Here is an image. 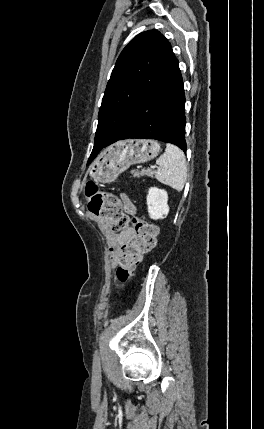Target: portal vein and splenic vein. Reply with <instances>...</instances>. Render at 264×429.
Returning <instances> with one entry per match:
<instances>
[{
	"label": "portal vein and splenic vein",
	"mask_w": 264,
	"mask_h": 429,
	"mask_svg": "<svg viewBox=\"0 0 264 429\" xmlns=\"http://www.w3.org/2000/svg\"><path fill=\"white\" fill-rule=\"evenodd\" d=\"M155 168H156V166H155V165H152V166H151V169H155Z\"/></svg>",
	"instance_id": "portal-vein-and-splenic-vein-1"
}]
</instances>
